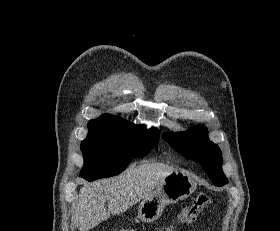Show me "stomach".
<instances>
[{
  "label": "stomach",
  "mask_w": 280,
  "mask_h": 231,
  "mask_svg": "<svg viewBox=\"0 0 280 231\" xmlns=\"http://www.w3.org/2000/svg\"><path fill=\"white\" fill-rule=\"evenodd\" d=\"M197 183L190 171L186 169H174L167 177L157 183L155 189L150 191L147 197L142 199L138 207V215L141 221H155L160 217L167 203H176L180 199H186L195 191Z\"/></svg>",
  "instance_id": "obj_1"
}]
</instances>
